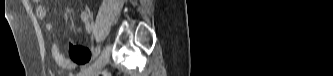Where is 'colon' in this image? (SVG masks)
I'll use <instances>...</instances> for the list:
<instances>
[{"instance_id":"colon-1","label":"colon","mask_w":333,"mask_h":76,"mask_svg":"<svg viewBox=\"0 0 333 76\" xmlns=\"http://www.w3.org/2000/svg\"><path fill=\"white\" fill-rule=\"evenodd\" d=\"M100 75L105 76V75H107V74H106V73H101Z\"/></svg>"}]
</instances>
